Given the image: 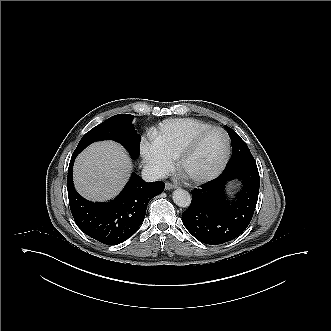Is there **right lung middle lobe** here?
Returning <instances> with one entry per match:
<instances>
[{
  "label": "right lung middle lobe",
  "mask_w": 331,
  "mask_h": 331,
  "mask_svg": "<svg viewBox=\"0 0 331 331\" xmlns=\"http://www.w3.org/2000/svg\"><path fill=\"white\" fill-rule=\"evenodd\" d=\"M133 119L134 116L130 114H118L110 117L87 132L74 152L79 154L95 141L111 139L122 144L133 159L137 158L140 153V135L137 134L134 124H132Z\"/></svg>",
  "instance_id": "dd1d6c3e"
}]
</instances>
